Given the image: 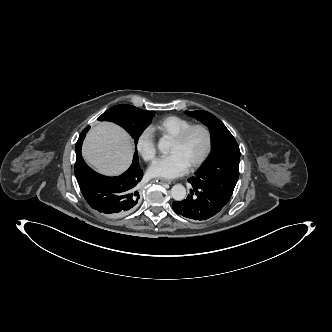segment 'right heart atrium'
Returning <instances> with one entry per match:
<instances>
[{"mask_svg":"<svg viewBox=\"0 0 332 332\" xmlns=\"http://www.w3.org/2000/svg\"><path fill=\"white\" fill-rule=\"evenodd\" d=\"M136 149L147 162L152 161L156 154L154 134L150 128L144 129L137 137Z\"/></svg>","mask_w":332,"mask_h":332,"instance_id":"1","label":"right heart atrium"}]
</instances>
